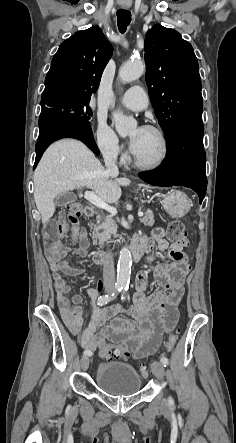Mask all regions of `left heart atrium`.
Instances as JSON below:
<instances>
[{"label": "left heart atrium", "mask_w": 236, "mask_h": 443, "mask_svg": "<svg viewBox=\"0 0 236 443\" xmlns=\"http://www.w3.org/2000/svg\"><path fill=\"white\" fill-rule=\"evenodd\" d=\"M145 129H146L145 127L139 126L132 134L130 141H129V146H130V149L133 153L136 152V150L139 146L140 139H141Z\"/></svg>", "instance_id": "39dd6f15"}]
</instances>
